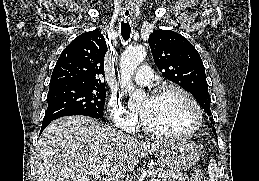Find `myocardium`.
Instances as JSON below:
<instances>
[{
    "label": "myocardium",
    "instance_id": "myocardium-1",
    "mask_svg": "<svg viewBox=\"0 0 259 181\" xmlns=\"http://www.w3.org/2000/svg\"><path fill=\"white\" fill-rule=\"evenodd\" d=\"M171 90L181 93L184 97L187 98V100L192 105V107L195 111V122H194L193 126L185 131H176V132L159 131V130H156V129H153L152 127H150L147 124L143 115L140 113L141 126L147 134L154 136V137H158V138H186V137L192 136L194 133H196L199 130V128L202 125L203 113H202V109H201L199 103L187 89H185L184 87H182L178 84L167 83V84H163V85L155 88L151 92L150 98H156V97L160 96L161 94H163L167 91H171Z\"/></svg>",
    "mask_w": 259,
    "mask_h": 181
}]
</instances>
